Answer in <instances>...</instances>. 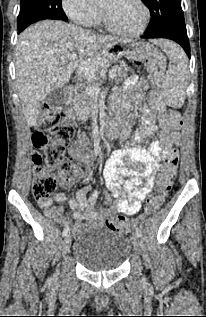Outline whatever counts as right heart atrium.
I'll use <instances>...</instances> for the list:
<instances>
[{
	"mask_svg": "<svg viewBox=\"0 0 206 317\" xmlns=\"http://www.w3.org/2000/svg\"><path fill=\"white\" fill-rule=\"evenodd\" d=\"M62 8L68 18L79 25H91L99 20L98 8L88 0H62Z\"/></svg>",
	"mask_w": 206,
	"mask_h": 317,
	"instance_id": "right-heart-atrium-1",
	"label": "right heart atrium"
}]
</instances>
